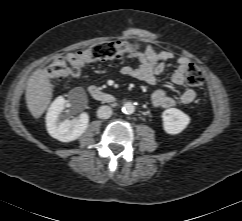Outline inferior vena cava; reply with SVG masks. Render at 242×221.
Segmentation results:
<instances>
[{
  "instance_id": "602c4592",
  "label": "inferior vena cava",
  "mask_w": 242,
  "mask_h": 221,
  "mask_svg": "<svg viewBox=\"0 0 242 221\" xmlns=\"http://www.w3.org/2000/svg\"><path fill=\"white\" fill-rule=\"evenodd\" d=\"M111 115H112V108L110 106L103 105L99 107V109L97 110V116L100 119H108L111 117Z\"/></svg>"
}]
</instances>
